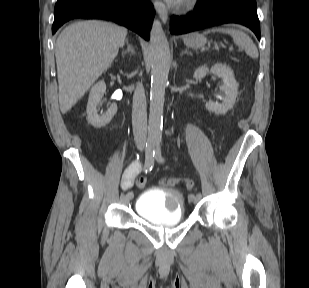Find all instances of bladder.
I'll return each mask as SVG.
<instances>
[{
	"label": "bladder",
	"instance_id": "1",
	"mask_svg": "<svg viewBox=\"0 0 309 288\" xmlns=\"http://www.w3.org/2000/svg\"><path fill=\"white\" fill-rule=\"evenodd\" d=\"M136 214L156 225L174 226L183 219V197L179 191L148 188L135 203Z\"/></svg>",
	"mask_w": 309,
	"mask_h": 288
}]
</instances>
